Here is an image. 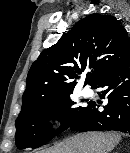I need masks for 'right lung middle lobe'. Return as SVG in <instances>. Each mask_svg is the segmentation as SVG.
Masks as SVG:
<instances>
[{
  "label": "right lung middle lobe",
  "instance_id": "dd1d6c3e",
  "mask_svg": "<svg viewBox=\"0 0 130 153\" xmlns=\"http://www.w3.org/2000/svg\"><path fill=\"white\" fill-rule=\"evenodd\" d=\"M70 95L36 106L16 120V145L19 149L38 148L57 134L66 130L73 120L84 110L76 107ZM57 119L62 126L56 131L51 130L49 120Z\"/></svg>",
  "mask_w": 130,
  "mask_h": 153
}]
</instances>
